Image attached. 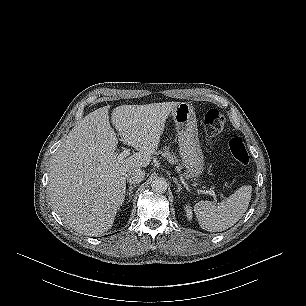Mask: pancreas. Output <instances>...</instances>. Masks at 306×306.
Listing matches in <instances>:
<instances>
[{"label": "pancreas", "mask_w": 306, "mask_h": 306, "mask_svg": "<svg viewBox=\"0 0 306 306\" xmlns=\"http://www.w3.org/2000/svg\"><path fill=\"white\" fill-rule=\"evenodd\" d=\"M158 153L161 154L163 157H166L167 159H169L171 162H177L176 157L171 154L168 147H165L163 151H159ZM185 176L189 177L187 173H185Z\"/></svg>", "instance_id": "obj_1"}]
</instances>
